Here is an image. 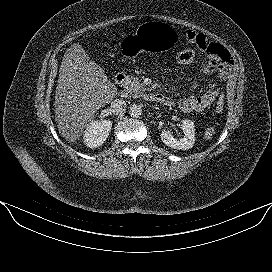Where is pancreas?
Instances as JSON below:
<instances>
[{
  "label": "pancreas",
  "instance_id": "cf45deb5",
  "mask_svg": "<svg viewBox=\"0 0 272 272\" xmlns=\"http://www.w3.org/2000/svg\"><path fill=\"white\" fill-rule=\"evenodd\" d=\"M124 88L128 92H138L142 90L143 84L140 83L138 78L130 77L125 83Z\"/></svg>",
  "mask_w": 272,
  "mask_h": 272
}]
</instances>
